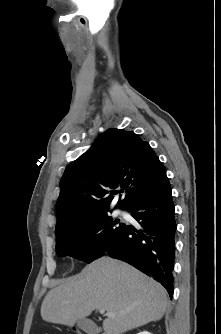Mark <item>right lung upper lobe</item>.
I'll use <instances>...</instances> for the list:
<instances>
[{
	"label": "right lung upper lobe",
	"mask_w": 221,
	"mask_h": 334,
	"mask_svg": "<svg viewBox=\"0 0 221 334\" xmlns=\"http://www.w3.org/2000/svg\"><path fill=\"white\" fill-rule=\"evenodd\" d=\"M165 176L148 142L132 131L108 129L65 169L57 201V237L70 226L107 214L111 190H125L119 207L128 210Z\"/></svg>",
	"instance_id": "cb5924a9"
}]
</instances>
